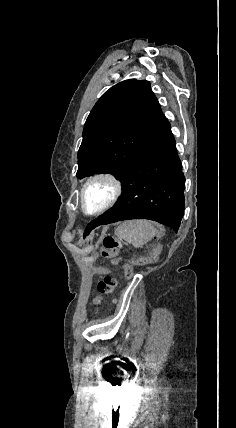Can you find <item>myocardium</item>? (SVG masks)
<instances>
[{
  "label": "myocardium",
  "instance_id": "obj_1",
  "mask_svg": "<svg viewBox=\"0 0 236 428\" xmlns=\"http://www.w3.org/2000/svg\"><path fill=\"white\" fill-rule=\"evenodd\" d=\"M98 182H104L111 188V194L108 200L100 207L90 210L86 204V191L87 189ZM124 192L123 181L112 172H99L88 177L81 186L80 189V204L82 210L89 215L101 214L111 209L121 198Z\"/></svg>",
  "mask_w": 236,
  "mask_h": 428
}]
</instances>
